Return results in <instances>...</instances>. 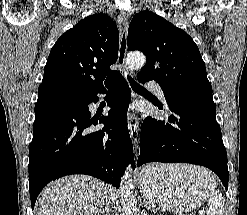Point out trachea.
Instances as JSON below:
<instances>
[{"instance_id": "3493384b", "label": "trachea", "mask_w": 247, "mask_h": 215, "mask_svg": "<svg viewBox=\"0 0 247 215\" xmlns=\"http://www.w3.org/2000/svg\"><path fill=\"white\" fill-rule=\"evenodd\" d=\"M128 80L134 91H147L145 88L140 86L137 82H135L130 76H128Z\"/></svg>"}]
</instances>
